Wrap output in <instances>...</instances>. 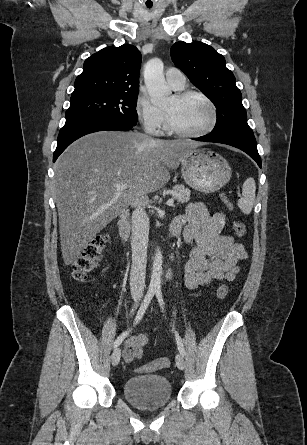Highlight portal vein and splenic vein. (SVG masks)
<instances>
[{
	"label": "portal vein and splenic vein",
	"instance_id": "portal-vein-and-splenic-vein-1",
	"mask_svg": "<svg viewBox=\"0 0 307 445\" xmlns=\"http://www.w3.org/2000/svg\"><path fill=\"white\" fill-rule=\"evenodd\" d=\"M114 186L116 190H124V188H129L128 184H125V182H122V184H114ZM166 204H168V206H174V198H169Z\"/></svg>",
	"mask_w": 307,
	"mask_h": 445
}]
</instances>
